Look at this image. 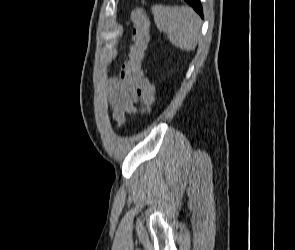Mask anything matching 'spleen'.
<instances>
[{"label": "spleen", "instance_id": "3e777b00", "mask_svg": "<svg viewBox=\"0 0 295 250\" xmlns=\"http://www.w3.org/2000/svg\"><path fill=\"white\" fill-rule=\"evenodd\" d=\"M154 22L169 41L183 51H192L200 38L201 22L188 6L153 5Z\"/></svg>", "mask_w": 295, "mask_h": 250}]
</instances>
